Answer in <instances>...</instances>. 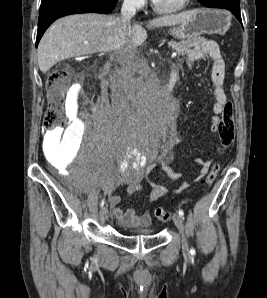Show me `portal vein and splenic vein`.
Listing matches in <instances>:
<instances>
[{
  "mask_svg": "<svg viewBox=\"0 0 267 298\" xmlns=\"http://www.w3.org/2000/svg\"><path fill=\"white\" fill-rule=\"evenodd\" d=\"M176 55H177V52H173L171 57L174 58V57H176Z\"/></svg>",
  "mask_w": 267,
  "mask_h": 298,
  "instance_id": "obj_1",
  "label": "portal vein and splenic vein"
}]
</instances>
